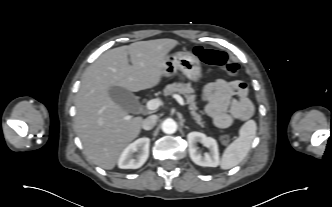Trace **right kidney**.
<instances>
[{"instance_id": "ca27d5eb", "label": "right kidney", "mask_w": 332, "mask_h": 207, "mask_svg": "<svg viewBox=\"0 0 332 207\" xmlns=\"http://www.w3.org/2000/svg\"><path fill=\"white\" fill-rule=\"evenodd\" d=\"M150 139L147 137L139 138L129 144L118 160V167L121 169H137L140 168L148 159ZM138 152L134 156V153Z\"/></svg>"}]
</instances>
